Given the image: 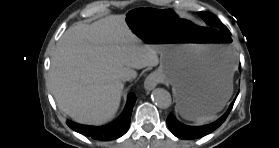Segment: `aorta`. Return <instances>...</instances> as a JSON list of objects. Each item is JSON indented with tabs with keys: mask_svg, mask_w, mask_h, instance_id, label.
Masks as SVG:
<instances>
[{
	"mask_svg": "<svg viewBox=\"0 0 279 148\" xmlns=\"http://www.w3.org/2000/svg\"><path fill=\"white\" fill-rule=\"evenodd\" d=\"M151 97L154 104L161 109H167L171 106V95L163 88L154 89Z\"/></svg>",
	"mask_w": 279,
	"mask_h": 148,
	"instance_id": "obj_1",
	"label": "aorta"
}]
</instances>
